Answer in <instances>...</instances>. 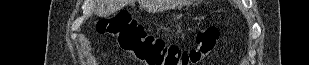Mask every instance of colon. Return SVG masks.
<instances>
[{
	"label": "colon",
	"mask_w": 309,
	"mask_h": 65,
	"mask_svg": "<svg viewBox=\"0 0 309 65\" xmlns=\"http://www.w3.org/2000/svg\"><path fill=\"white\" fill-rule=\"evenodd\" d=\"M97 30L114 38L120 49L145 65H197L214 51L220 36L217 27H206L197 34L195 47L182 49L147 34L126 11L101 19Z\"/></svg>",
	"instance_id": "colon-1"
}]
</instances>
